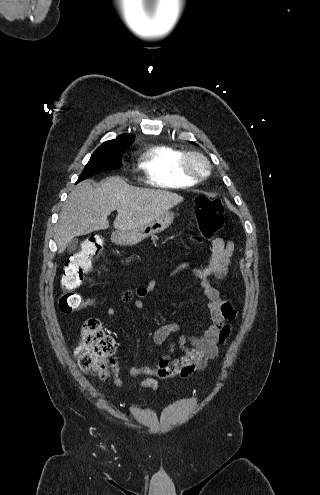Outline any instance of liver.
I'll list each match as a JSON object with an SVG mask.
<instances>
[{
  "label": "liver",
  "instance_id": "1",
  "mask_svg": "<svg viewBox=\"0 0 320 495\" xmlns=\"http://www.w3.org/2000/svg\"><path fill=\"white\" fill-rule=\"evenodd\" d=\"M182 201L176 193L133 187L118 176L97 186L85 180L71 191L59 215L54 237L58 253L74 237L109 228L107 217L114 210L118 212L114 228L126 231L150 223Z\"/></svg>",
  "mask_w": 320,
  "mask_h": 495
}]
</instances>
